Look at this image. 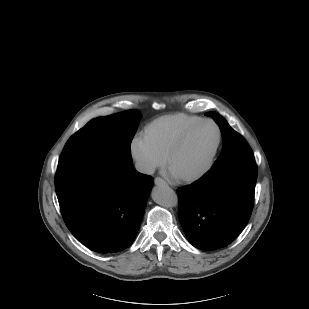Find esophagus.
<instances>
[{"instance_id":"1","label":"esophagus","mask_w":309,"mask_h":309,"mask_svg":"<svg viewBox=\"0 0 309 309\" xmlns=\"http://www.w3.org/2000/svg\"><path fill=\"white\" fill-rule=\"evenodd\" d=\"M154 183L158 186H167V183L160 177H156Z\"/></svg>"}]
</instances>
